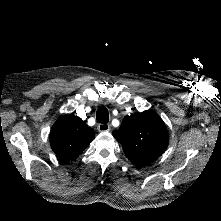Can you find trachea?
I'll list each match as a JSON object with an SVG mask.
<instances>
[{
	"mask_svg": "<svg viewBox=\"0 0 221 221\" xmlns=\"http://www.w3.org/2000/svg\"><path fill=\"white\" fill-rule=\"evenodd\" d=\"M96 119L99 123L105 124L109 121L108 110L104 106H100L96 111Z\"/></svg>",
	"mask_w": 221,
	"mask_h": 221,
	"instance_id": "obj_1",
	"label": "trachea"
}]
</instances>
